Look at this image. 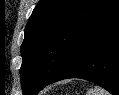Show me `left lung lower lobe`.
Returning a JSON list of instances; mask_svg holds the SVG:
<instances>
[{
  "label": "left lung lower lobe",
  "instance_id": "0a47b994",
  "mask_svg": "<svg viewBox=\"0 0 119 95\" xmlns=\"http://www.w3.org/2000/svg\"><path fill=\"white\" fill-rule=\"evenodd\" d=\"M81 78L119 95V1L78 41L61 70L44 86Z\"/></svg>",
  "mask_w": 119,
  "mask_h": 95
}]
</instances>
